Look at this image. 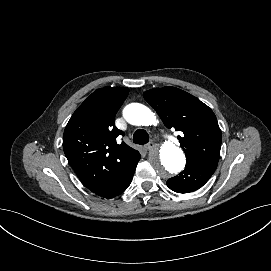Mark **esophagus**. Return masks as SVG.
Masks as SVG:
<instances>
[{
	"label": "esophagus",
	"instance_id": "1",
	"mask_svg": "<svg viewBox=\"0 0 271 271\" xmlns=\"http://www.w3.org/2000/svg\"><path fill=\"white\" fill-rule=\"evenodd\" d=\"M157 145L153 142H150L144 146V148L148 151L153 150Z\"/></svg>",
	"mask_w": 271,
	"mask_h": 271
}]
</instances>
